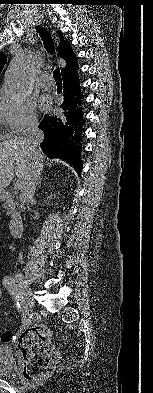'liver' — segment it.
<instances>
[{"instance_id": "obj_1", "label": "liver", "mask_w": 153, "mask_h": 393, "mask_svg": "<svg viewBox=\"0 0 153 393\" xmlns=\"http://www.w3.org/2000/svg\"><path fill=\"white\" fill-rule=\"evenodd\" d=\"M42 159L41 150L38 148L37 151H31L24 137H15L0 142V194L15 175L22 185L27 176L31 174L35 163H42Z\"/></svg>"}]
</instances>
